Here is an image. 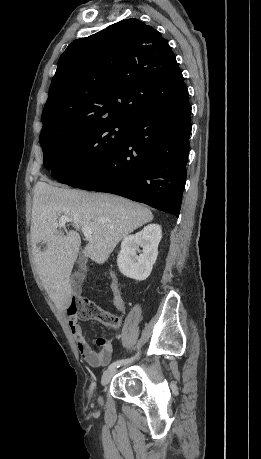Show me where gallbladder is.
<instances>
[{
	"mask_svg": "<svg viewBox=\"0 0 261 459\" xmlns=\"http://www.w3.org/2000/svg\"><path fill=\"white\" fill-rule=\"evenodd\" d=\"M86 261H87V257H86L85 251L82 250L79 254L78 270L74 273L73 278H72L73 290L77 295H80L82 292L81 286L85 279Z\"/></svg>",
	"mask_w": 261,
	"mask_h": 459,
	"instance_id": "gallbladder-1",
	"label": "gallbladder"
}]
</instances>
